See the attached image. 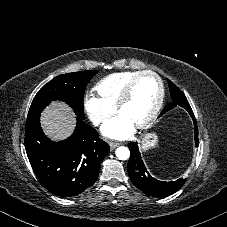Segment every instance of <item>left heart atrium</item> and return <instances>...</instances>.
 Wrapping results in <instances>:
<instances>
[{
    "mask_svg": "<svg viewBox=\"0 0 227 227\" xmlns=\"http://www.w3.org/2000/svg\"><path fill=\"white\" fill-rule=\"evenodd\" d=\"M133 132L134 125L122 114L109 119L102 127V134L111 139H124Z\"/></svg>",
    "mask_w": 227,
    "mask_h": 227,
    "instance_id": "1",
    "label": "left heart atrium"
}]
</instances>
